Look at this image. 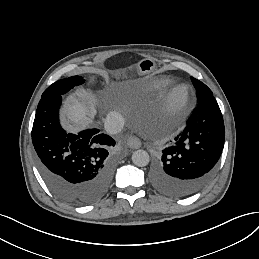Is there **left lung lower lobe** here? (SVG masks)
<instances>
[{"instance_id": "obj_1", "label": "left lung lower lobe", "mask_w": 259, "mask_h": 259, "mask_svg": "<svg viewBox=\"0 0 259 259\" xmlns=\"http://www.w3.org/2000/svg\"><path fill=\"white\" fill-rule=\"evenodd\" d=\"M224 140V122L217 101L213 94L199 96L185 129L152 167L151 184L170 197L183 198L199 191L213 176Z\"/></svg>"}]
</instances>
